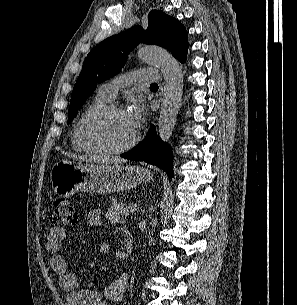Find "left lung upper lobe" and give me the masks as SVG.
Instances as JSON below:
<instances>
[{
	"mask_svg": "<svg viewBox=\"0 0 297 305\" xmlns=\"http://www.w3.org/2000/svg\"><path fill=\"white\" fill-rule=\"evenodd\" d=\"M187 35L177 19L160 10H152L146 31L141 26H134L102 41L85 58L72 91L68 124L97 84L116 75L125 65L129 52L140 42L162 46L183 63L189 47Z\"/></svg>",
	"mask_w": 297,
	"mask_h": 305,
	"instance_id": "1",
	"label": "left lung upper lobe"
}]
</instances>
